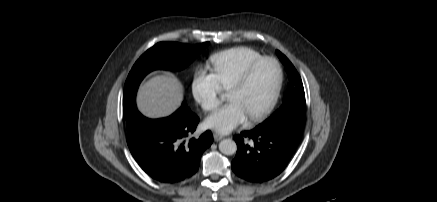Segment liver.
Returning a JSON list of instances; mask_svg holds the SVG:
<instances>
[{
  "instance_id": "liver-1",
  "label": "liver",
  "mask_w": 437,
  "mask_h": 202,
  "mask_svg": "<svg viewBox=\"0 0 437 202\" xmlns=\"http://www.w3.org/2000/svg\"><path fill=\"white\" fill-rule=\"evenodd\" d=\"M183 99V86L169 75H156L140 88L137 106L142 114L150 118L165 117L173 113Z\"/></svg>"
}]
</instances>
